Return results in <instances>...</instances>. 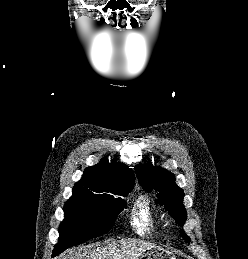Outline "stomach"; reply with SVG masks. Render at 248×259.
Segmentation results:
<instances>
[{
  "label": "stomach",
  "mask_w": 248,
  "mask_h": 259,
  "mask_svg": "<svg viewBox=\"0 0 248 259\" xmlns=\"http://www.w3.org/2000/svg\"><path fill=\"white\" fill-rule=\"evenodd\" d=\"M136 259H176V256L163 248L152 247L143 251Z\"/></svg>",
  "instance_id": "stomach-1"
}]
</instances>
